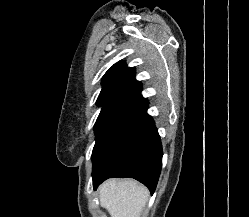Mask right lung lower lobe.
<instances>
[{"mask_svg":"<svg viewBox=\"0 0 249 217\" xmlns=\"http://www.w3.org/2000/svg\"><path fill=\"white\" fill-rule=\"evenodd\" d=\"M141 90L140 83L121 95L95 130L94 189L110 177H131L147 186L151 194L155 191L162 166V145Z\"/></svg>","mask_w":249,"mask_h":217,"instance_id":"98d812e1","label":"right lung lower lobe"}]
</instances>
